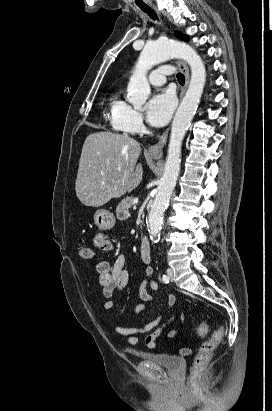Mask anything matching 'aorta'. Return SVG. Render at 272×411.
Returning <instances> with one entry per match:
<instances>
[{
	"label": "aorta",
	"mask_w": 272,
	"mask_h": 411,
	"mask_svg": "<svg viewBox=\"0 0 272 411\" xmlns=\"http://www.w3.org/2000/svg\"><path fill=\"white\" fill-rule=\"evenodd\" d=\"M173 57L181 58L189 64L191 79L172 122L163 176L148 214V231L150 238L155 241L160 234L164 211L179 175L182 141L200 102L206 82V69L201 57L189 45L171 39L152 41L140 53L127 87V100L135 109H141L150 94L147 71Z\"/></svg>",
	"instance_id": "obj_1"
}]
</instances>
